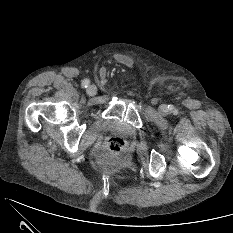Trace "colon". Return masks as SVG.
Returning a JSON list of instances; mask_svg holds the SVG:
<instances>
[{
  "mask_svg": "<svg viewBox=\"0 0 233 233\" xmlns=\"http://www.w3.org/2000/svg\"><path fill=\"white\" fill-rule=\"evenodd\" d=\"M126 143L120 137H109L104 142V151L102 158L112 161L117 158L125 149Z\"/></svg>",
  "mask_w": 233,
  "mask_h": 233,
  "instance_id": "1",
  "label": "colon"
}]
</instances>
